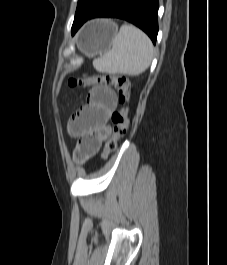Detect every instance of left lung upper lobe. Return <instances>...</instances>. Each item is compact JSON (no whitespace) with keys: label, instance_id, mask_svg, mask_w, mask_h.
<instances>
[{"label":"left lung upper lobe","instance_id":"left-lung-upper-lobe-1","mask_svg":"<svg viewBox=\"0 0 227 265\" xmlns=\"http://www.w3.org/2000/svg\"><path fill=\"white\" fill-rule=\"evenodd\" d=\"M105 0H78L73 25L90 16Z\"/></svg>","mask_w":227,"mask_h":265}]
</instances>
